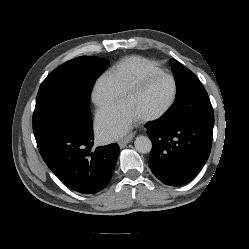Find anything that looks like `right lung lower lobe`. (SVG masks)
I'll list each match as a JSON object with an SVG mask.
<instances>
[{"label": "right lung lower lobe", "mask_w": 249, "mask_h": 249, "mask_svg": "<svg viewBox=\"0 0 249 249\" xmlns=\"http://www.w3.org/2000/svg\"><path fill=\"white\" fill-rule=\"evenodd\" d=\"M39 152L52 172L68 187L96 193L106 187L119 154L116 143L93 148V122L51 121L34 131Z\"/></svg>", "instance_id": "obj_1"}]
</instances>
